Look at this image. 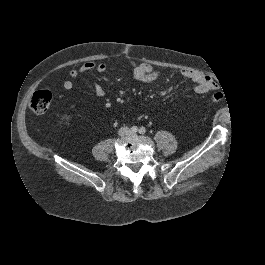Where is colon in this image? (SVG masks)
I'll list each match as a JSON object with an SVG mask.
<instances>
[{"mask_svg": "<svg viewBox=\"0 0 265 265\" xmlns=\"http://www.w3.org/2000/svg\"><path fill=\"white\" fill-rule=\"evenodd\" d=\"M224 94L222 92H216L212 95L211 99L214 102L223 100ZM52 94L48 90H40L34 93L32 96L30 107L35 113L45 112L51 103Z\"/></svg>", "mask_w": 265, "mask_h": 265, "instance_id": "5ec220e1", "label": "colon"}]
</instances>
